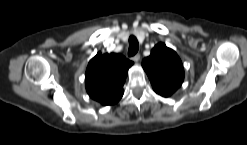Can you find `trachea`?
<instances>
[{
    "label": "trachea",
    "instance_id": "1",
    "mask_svg": "<svg viewBox=\"0 0 247 145\" xmlns=\"http://www.w3.org/2000/svg\"><path fill=\"white\" fill-rule=\"evenodd\" d=\"M139 49V44L135 36L131 35L129 37V49H128V56H134Z\"/></svg>",
    "mask_w": 247,
    "mask_h": 145
}]
</instances>
